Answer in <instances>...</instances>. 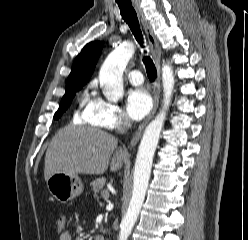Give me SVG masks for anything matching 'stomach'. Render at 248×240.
<instances>
[{"label":"stomach","mask_w":248,"mask_h":240,"mask_svg":"<svg viewBox=\"0 0 248 240\" xmlns=\"http://www.w3.org/2000/svg\"><path fill=\"white\" fill-rule=\"evenodd\" d=\"M51 195L61 203H67L83 191V183L77 175L58 172L46 181Z\"/></svg>","instance_id":"0dacf381"}]
</instances>
